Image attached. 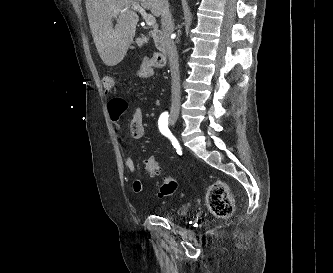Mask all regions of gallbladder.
<instances>
[{"label":"gallbladder","instance_id":"gallbladder-1","mask_svg":"<svg viewBox=\"0 0 333 273\" xmlns=\"http://www.w3.org/2000/svg\"><path fill=\"white\" fill-rule=\"evenodd\" d=\"M145 40L144 39H138V43L142 44Z\"/></svg>","mask_w":333,"mask_h":273}]
</instances>
